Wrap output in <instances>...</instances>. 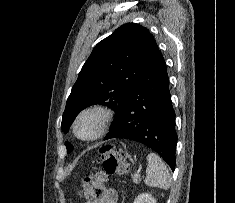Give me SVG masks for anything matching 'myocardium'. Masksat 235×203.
<instances>
[{"mask_svg":"<svg viewBox=\"0 0 235 203\" xmlns=\"http://www.w3.org/2000/svg\"><path fill=\"white\" fill-rule=\"evenodd\" d=\"M88 115H95L98 118V127L96 132L89 136L83 137L78 132V124L79 122ZM113 118V111L106 105L102 104H93L83 108L75 117L73 122V133L74 135L82 140V141H95L102 137L104 133L107 131L111 121Z\"/></svg>","mask_w":235,"mask_h":203,"instance_id":"1","label":"myocardium"}]
</instances>
